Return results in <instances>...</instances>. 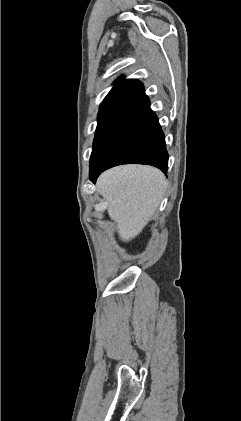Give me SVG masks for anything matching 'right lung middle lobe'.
Instances as JSON below:
<instances>
[{"label": "right lung middle lobe", "mask_w": 241, "mask_h": 421, "mask_svg": "<svg viewBox=\"0 0 241 421\" xmlns=\"http://www.w3.org/2000/svg\"><path fill=\"white\" fill-rule=\"evenodd\" d=\"M132 105H120L100 110L98 113V125L90 158V168L93 167L114 139Z\"/></svg>", "instance_id": "right-lung-middle-lobe-1"}]
</instances>
